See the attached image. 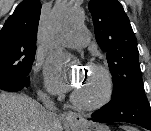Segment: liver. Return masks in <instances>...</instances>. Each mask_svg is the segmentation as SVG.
<instances>
[{"mask_svg": "<svg viewBox=\"0 0 151 131\" xmlns=\"http://www.w3.org/2000/svg\"><path fill=\"white\" fill-rule=\"evenodd\" d=\"M53 116L32 98L0 93V131H53ZM61 131V124L57 128Z\"/></svg>", "mask_w": 151, "mask_h": 131, "instance_id": "1", "label": "liver"}]
</instances>
